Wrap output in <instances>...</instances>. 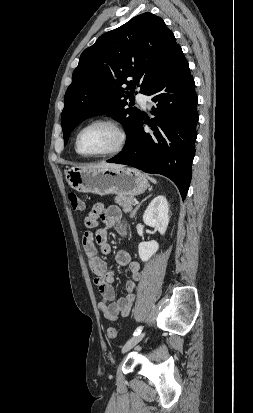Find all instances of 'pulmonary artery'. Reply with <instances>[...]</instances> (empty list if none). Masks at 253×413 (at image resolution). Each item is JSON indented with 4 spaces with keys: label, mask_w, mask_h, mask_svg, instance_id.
I'll return each instance as SVG.
<instances>
[{
    "label": "pulmonary artery",
    "mask_w": 253,
    "mask_h": 413,
    "mask_svg": "<svg viewBox=\"0 0 253 413\" xmlns=\"http://www.w3.org/2000/svg\"><path fill=\"white\" fill-rule=\"evenodd\" d=\"M137 101L138 103L143 107V108H147L149 106V98L142 94V93H138L136 95Z\"/></svg>",
    "instance_id": "obj_1"
}]
</instances>
